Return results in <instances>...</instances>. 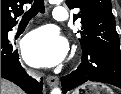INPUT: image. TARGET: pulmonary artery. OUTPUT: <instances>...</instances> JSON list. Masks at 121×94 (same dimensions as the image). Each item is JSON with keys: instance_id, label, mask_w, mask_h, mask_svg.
Instances as JSON below:
<instances>
[{"instance_id": "1", "label": "pulmonary artery", "mask_w": 121, "mask_h": 94, "mask_svg": "<svg viewBox=\"0 0 121 94\" xmlns=\"http://www.w3.org/2000/svg\"><path fill=\"white\" fill-rule=\"evenodd\" d=\"M53 18L56 21L64 22L68 18V12L64 7L56 6L54 9ZM13 32H15V30L12 31V33Z\"/></svg>"}]
</instances>
